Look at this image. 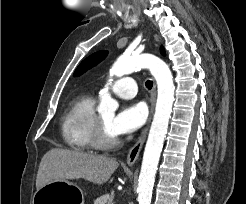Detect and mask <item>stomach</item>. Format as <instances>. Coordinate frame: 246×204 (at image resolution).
Segmentation results:
<instances>
[{
  "label": "stomach",
  "instance_id": "0dacf381",
  "mask_svg": "<svg viewBox=\"0 0 246 204\" xmlns=\"http://www.w3.org/2000/svg\"><path fill=\"white\" fill-rule=\"evenodd\" d=\"M82 190L67 180L53 181L36 191L32 204H83Z\"/></svg>",
  "mask_w": 246,
  "mask_h": 204
}]
</instances>
